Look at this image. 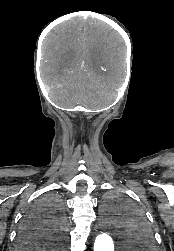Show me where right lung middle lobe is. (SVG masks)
Listing matches in <instances>:
<instances>
[{
	"mask_svg": "<svg viewBox=\"0 0 174 251\" xmlns=\"http://www.w3.org/2000/svg\"><path fill=\"white\" fill-rule=\"evenodd\" d=\"M24 221L44 223L60 234L65 225L60 198L54 194L41 197L30 209Z\"/></svg>",
	"mask_w": 174,
	"mask_h": 251,
	"instance_id": "dd1d6c3e",
	"label": "right lung middle lobe"
}]
</instances>
